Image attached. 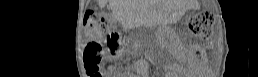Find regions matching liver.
<instances>
[{"mask_svg":"<svg viewBox=\"0 0 258 77\" xmlns=\"http://www.w3.org/2000/svg\"><path fill=\"white\" fill-rule=\"evenodd\" d=\"M106 0H98L99 5ZM113 13L120 19L124 27L137 25L151 26L166 19L157 0H109Z\"/></svg>","mask_w":258,"mask_h":77,"instance_id":"6515ba94","label":"liver"}]
</instances>
